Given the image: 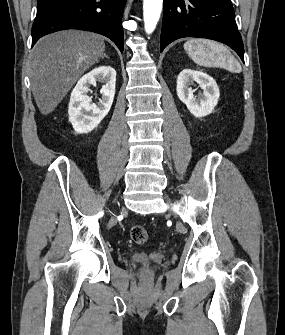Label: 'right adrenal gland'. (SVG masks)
<instances>
[{
    "mask_svg": "<svg viewBox=\"0 0 285 335\" xmlns=\"http://www.w3.org/2000/svg\"><path fill=\"white\" fill-rule=\"evenodd\" d=\"M103 58H108V56H106V54H104V56H102V60H103Z\"/></svg>",
    "mask_w": 285,
    "mask_h": 335,
    "instance_id": "1",
    "label": "right adrenal gland"
}]
</instances>
